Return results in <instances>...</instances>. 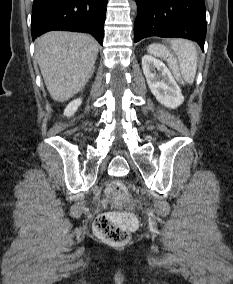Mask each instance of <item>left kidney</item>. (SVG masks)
Here are the masks:
<instances>
[{"label":"left kidney","instance_id":"left-kidney-1","mask_svg":"<svg viewBox=\"0 0 233 284\" xmlns=\"http://www.w3.org/2000/svg\"><path fill=\"white\" fill-rule=\"evenodd\" d=\"M142 69L152 94L162 105L175 109L183 103L181 89L162 61L151 55H144Z\"/></svg>","mask_w":233,"mask_h":284}]
</instances>
